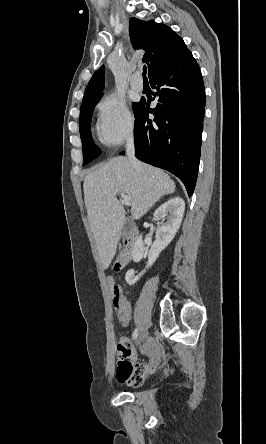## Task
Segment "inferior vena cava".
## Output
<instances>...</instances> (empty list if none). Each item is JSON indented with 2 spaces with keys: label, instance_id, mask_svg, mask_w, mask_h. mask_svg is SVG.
Segmentation results:
<instances>
[{
  "label": "inferior vena cava",
  "instance_id": "obj_1",
  "mask_svg": "<svg viewBox=\"0 0 266 444\" xmlns=\"http://www.w3.org/2000/svg\"><path fill=\"white\" fill-rule=\"evenodd\" d=\"M126 154L128 159L135 163L136 162V158H135V148H134V137L133 135H130L127 139V149H126Z\"/></svg>",
  "mask_w": 266,
  "mask_h": 444
}]
</instances>
